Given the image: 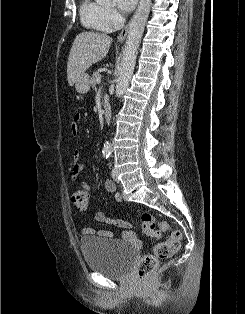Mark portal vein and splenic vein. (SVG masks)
Wrapping results in <instances>:
<instances>
[{"label":"portal vein and splenic vein","instance_id":"18ae733b","mask_svg":"<svg viewBox=\"0 0 245 314\" xmlns=\"http://www.w3.org/2000/svg\"><path fill=\"white\" fill-rule=\"evenodd\" d=\"M101 83V77H98L97 78V84H100Z\"/></svg>","mask_w":245,"mask_h":314}]
</instances>
